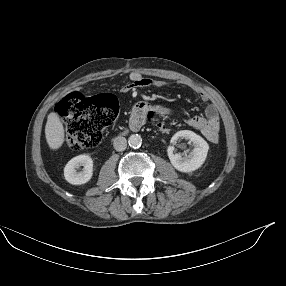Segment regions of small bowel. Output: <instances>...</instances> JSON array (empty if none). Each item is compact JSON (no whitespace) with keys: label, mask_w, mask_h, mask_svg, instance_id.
Here are the masks:
<instances>
[{"label":"small bowel","mask_w":286,"mask_h":286,"mask_svg":"<svg viewBox=\"0 0 286 286\" xmlns=\"http://www.w3.org/2000/svg\"><path fill=\"white\" fill-rule=\"evenodd\" d=\"M130 82L122 87V91L125 93L135 92L139 88H163L166 83L158 79H150L142 76L137 72H132L129 75ZM202 101L207 102L208 105L205 111V117L193 116L187 119V123L193 129H196L201 133L203 127L209 123H214L220 127V117L217 107L211 102L209 94L202 89H195ZM134 104L138 109L142 110H154L159 109L163 115L169 114V109L165 106L157 105L156 103H146L144 100L136 99ZM162 133H169L170 129L166 127H158ZM217 143V142H216Z\"/></svg>","instance_id":"c3829d8e"}]
</instances>
